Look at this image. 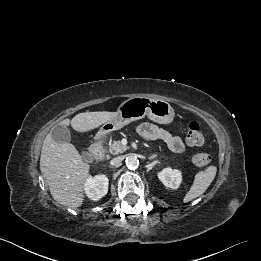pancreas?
Here are the masks:
<instances>
[{
	"label": "pancreas",
	"mask_w": 261,
	"mask_h": 261,
	"mask_svg": "<svg viewBox=\"0 0 261 261\" xmlns=\"http://www.w3.org/2000/svg\"><path fill=\"white\" fill-rule=\"evenodd\" d=\"M127 149H128L127 146L122 145V143L119 140H117L109 145L108 151L113 155H117V154L123 153Z\"/></svg>",
	"instance_id": "cf45deb5"
}]
</instances>
